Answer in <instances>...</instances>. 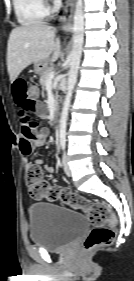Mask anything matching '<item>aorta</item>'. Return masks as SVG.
<instances>
[{"label":"aorta","instance_id":"762f6f07","mask_svg":"<svg viewBox=\"0 0 134 281\" xmlns=\"http://www.w3.org/2000/svg\"><path fill=\"white\" fill-rule=\"evenodd\" d=\"M83 33H84L83 0H77L75 13H74V22H73V37H72L73 46L71 51L70 70L68 72L67 92L63 102V108H62L60 124H59L60 137H65L66 135L68 112H69L74 86L77 80V74H78L80 59L82 55L83 35H84Z\"/></svg>","mask_w":134,"mask_h":281}]
</instances>
